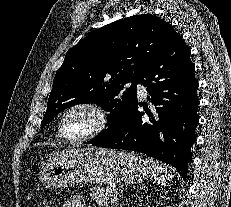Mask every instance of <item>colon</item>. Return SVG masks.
Listing matches in <instances>:
<instances>
[{"label":"colon","instance_id":"5ec220e1","mask_svg":"<svg viewBox=\"0 0 231 207\" xmlns=\"http://www.w3.org/2000/svg\"><path fill=\"white\" fill-rule=\"evenodd\" d=\"M36 207H50V206L47 203H42V204H39Z\"/></svg>","mask_w":231,"mask_h":207}]
</instances>
